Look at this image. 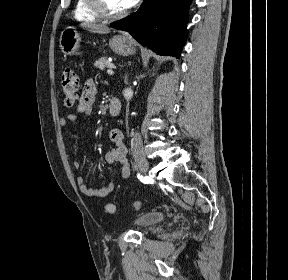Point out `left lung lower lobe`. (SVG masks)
<instances>
[{
  "instance_id": "left-lung-lower-lobe-1",
  "label": "left lung lower lobe",
  "mask_w": 288,
  "mask_h": 280,
  "mask_svg": "<svg viewBox=\"0 0 288 280\" xmlns=\"http://www.w3.org/2000/svg\"><path fill=\"white\" fill-rule=\"evenodd\" d=\"M191 0H145L131 15L111 24L129 31L143 46L160 55L180 57Z\"/></svg>"
}]
</instances>
